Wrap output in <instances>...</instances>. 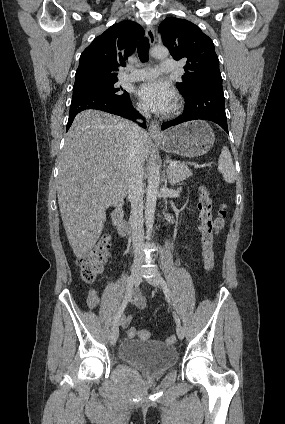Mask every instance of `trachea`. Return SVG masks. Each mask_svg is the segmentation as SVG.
Here are the masks:
<instances>
[{
    "label": "trachea",
    "mask_w": 285,
    "mask_h": 424,
    "mask_svg": "<svg viewBox=\"0 0 285 424\" xmlns=\"http://www.w3.org/2000/svg\"><path fill=\"white\" fill-rule=\"evenodd\" d=\"M149 52V40L148 38H142L138 43V56L141 62L148 61Z\"/></svg>",
    "instance_id": "1"
}]
</instances>
